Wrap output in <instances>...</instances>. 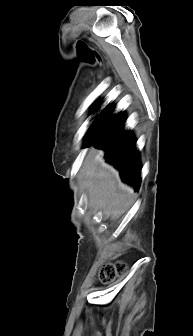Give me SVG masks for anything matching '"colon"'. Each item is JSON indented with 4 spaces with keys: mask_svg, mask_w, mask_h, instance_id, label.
Instances as JSON below:
<instances>
[{
    "mask_svg": "<svg viewBox=\"0 0 193 336\" xmlns=\"http://www.w3.org/2000/svg\"><path fill=\"white\" fill-rule=\"evenodd\" d=\"M127 270V264L123 260L106 263L100 269L98 278L102 283L112 282L118 276L123 275Z\"/></svg>",
    "mask_w": 193,
    "mask_h": 336,
    "instance_id": "obj_1",
    "label": "colon"
}]
</instances>
